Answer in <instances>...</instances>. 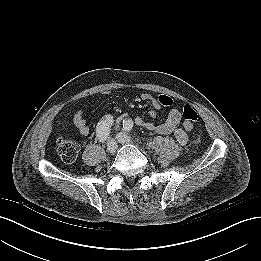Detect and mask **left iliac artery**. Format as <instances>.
<instances>
[{"label":"left iliac artery","mask_w":261,"mask_h":261,"mask_svg":"<svg viewBox=\"0 0 261 261\" xmlns=\"http://www.w3.org/2000/svg\"><path fill=\"white\" fill-rule=\"evenodd\" d=\"M122 127H123V130L125 131V132H130L131 130H132V128H133V122H132V120H123V123H122Z\"/></svg>","instance_id":"1"}]
</instances>
